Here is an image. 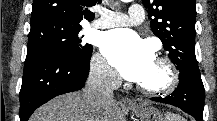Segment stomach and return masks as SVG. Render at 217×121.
Returning a JSON list of instances; mask_svg holds the SVG:
<instances>
[{
  "instance_id": "1",
  "label": "stomach",
  "mask_w": 217,
  "mask_h": 121,
  "mask_svg": "<svg viewBox=\"0 0 217 121\" xmlns=\"http://www.w3.org/2000/svg\"><path fill=\"white\" fill-rule=\"evenodd\" d=\"M128 110H131L140 121H165L163 115L156 108L147 104L129 107Z\"/></svg>"
}]
</instances>
